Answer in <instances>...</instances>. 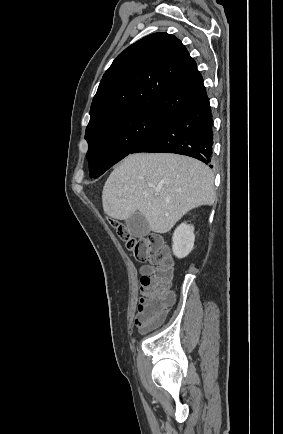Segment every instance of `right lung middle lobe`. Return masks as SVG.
I'll list each match as a JSON object with an SVG mask.
<instances>
[{
	"instance_id": "obj_1",
	"label": "right lung middle lobe",
	"mask_w": 283,
	"mask_h": 434,
	"mask_svg": "<svg viewBox=\"0 0 283 434\" xmlns=\"http://www.w3.org/2000/svg\"><path fill=\"white\" fill-rule=\"evenodd\" d=\"M170 118L147 111L122 114L86 129L91 178L130 154Z\"/></svg>"
}]
</instances>
